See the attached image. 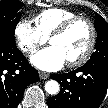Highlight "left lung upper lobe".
Listing matches in <instances>:
<instances>
[{"instance_id":"5c2ea615","label":"left lung upper lobe","mask_w":108,"mask_h":108,"mask_svg":"<svg viewBox=\"0 0 108 108\" xmlns=\"http://www.w3.org/2000/svg\"><path fill=\"white\" fill-rule=\"evenodd\" d=\"M94 25L97 30L95 52L87 62L99 59L108 61V24L102 16L96 13ZM70 97L74 98V94L72 93Z\"/></svg>"}]
</instances>
